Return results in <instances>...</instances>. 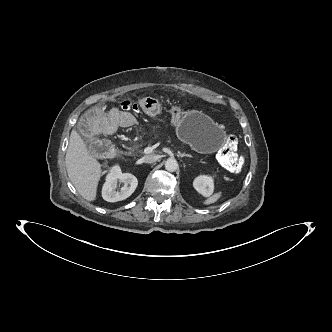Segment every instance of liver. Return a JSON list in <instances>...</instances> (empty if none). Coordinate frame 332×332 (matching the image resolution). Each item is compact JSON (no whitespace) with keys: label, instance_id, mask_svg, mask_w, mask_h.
<instances>
[{"label":"liver","instance_id":"6515ba94","mask_svg":"<svg viewBox=\"0 0 332 332\" xmlns=\"http://www.w3.org/2000/svg\"><path fill=\"white\" fill-rule=\"evenodd\" d=\"M68 177L79 194L94 201L98 182L103 174L101 164L90 154L80 135L73 130L65 156Z\"/></svg>","mask_w":332,"mask_h":332}]
</instances>
